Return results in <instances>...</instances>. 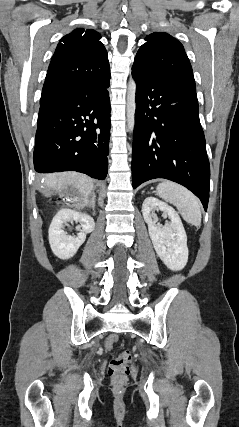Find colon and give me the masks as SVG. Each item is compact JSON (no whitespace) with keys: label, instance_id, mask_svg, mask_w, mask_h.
I'll return each mask as SVG.
<instances>
[{"label":"colon","instance_id":"obj_1","mask_svg":"<svg viewBox=\"0 0 239 427\" xmlns=\"http://www.w3.org/2000/svg\"><path fill=\"white\" fill-rule=\"evenodd\" d=\"M131 352L126 350L111 360L109 375L115 389L121 391L128 381L130 374Z\"/></svg>","mask_w":239,"mask_h":427}]
</instances>
